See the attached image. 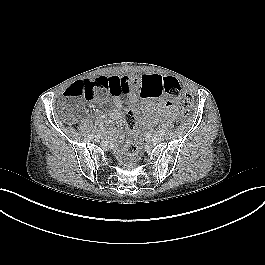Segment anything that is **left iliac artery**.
Wrapping results in <instances>:
<instances>
[{
  "mask_svg": "<svg viewBox=\"0 0 265 265\" xmlns=\"http://www.w3.org/2000/svg\"><path fill=\"white\" fill-rule=\"evenodd\" d=\"M159 133H160L161 135H164V134H165V131H164L163 129H160V130H159Z\"/></svg>",
  "mask_w": 265,
  "mask_h": 265,
  "instance_id": "left-iliac-artery-1",
  "label": "left iliac artery"
}]
</instances>
